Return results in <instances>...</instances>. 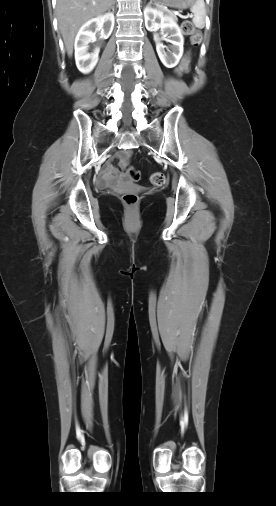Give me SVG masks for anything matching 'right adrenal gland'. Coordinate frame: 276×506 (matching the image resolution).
<instances>
[{"label": "right adrenal gland", "mask_w": 276, "mask_h": 506, "mask_svg": "<svg viewBox=\"0 0 276 506\" xmlns=\"http://www.w3.org/2000/svg\"><path fill=\"white\" fill-rule=\"evenodd\" d=\"M114 5H115V3H113L112 6H111V9H112L113 12H114Z\"/></svg>", "instance_id": "1"}]
</instances>
